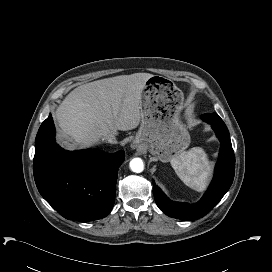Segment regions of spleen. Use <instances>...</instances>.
<instances>
[{"label": "spleen", "instance_id": "3e777b00", "mask_svg": "<svg viewBox=\"0 0 272 272\" xmlns=\"http://www.w3.org/2000/svg\"><path fill=\"white\" fill-rule=\"evenodd\" d=\"M171 166L188 187L199 192L205 189L211 166L202 148L194 147L180 152L171 159Z\"/></svg>", "mask_w": 272, "mask_h": 272}]
</instances>
